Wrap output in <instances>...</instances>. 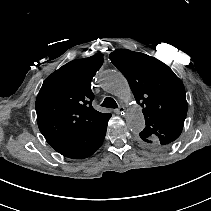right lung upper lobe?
Wrapping results in <instances>:
<instances>
[{"label":"right lung upper lobe","mask_w":211,"mask_h":211,"mask_svg":"<svg viewBox=\"0 0 211 211\" xmlns=\"http://www.w3.org/2000/svg\"><path fill=\"white\" fill-rule=\"evenodd\" d=\"M103 63V55L74 60L44 81L36 99L39 130L48 143L92 127L106 114L91 103V80Z\"/></svg>","instance_id":"obj_1"}]
</instances>
